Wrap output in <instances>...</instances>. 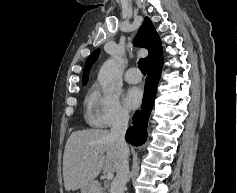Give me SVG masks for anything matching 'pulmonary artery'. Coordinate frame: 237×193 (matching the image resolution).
I'll return each instance as SVG.
<instances>
[{
    "label": "pulmonary artery",
    "instance_id": "obj_1",
    "mask_svg": "<svg viewBox=\"0 0 237 193\" xmlns=\"http://www.w3.org/2000/svg\"><path fill=\"white\" fill-rule=\"evenodd\" d=\"M125 80L128 83L136 84L142 80V75L137 68L132 67L126 72Z\"/></svg>",
    "mask_w": 237,
    "mask_h": 193
}]
</instances>
